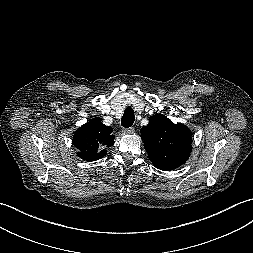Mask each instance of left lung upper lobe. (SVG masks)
Segmentation results:
<instances>
[{
  "label": "left lung upper lobe",
  "mask_w": 253,
  "mask_h": 253,
  "mask_svg": "<svg viewBox=\"0 0 253 253\" xmlns=\"http://www.w3.org/2000/svg\"><path fill=\"white\" fill-rule=\"evenodd\" d=\"M140 132L144 148L156 168L171 171L189 158L192 132L184 124H175L166 116L156 114Z\"/></svg>",
  "instance_id": "1"
}]
</instances>
